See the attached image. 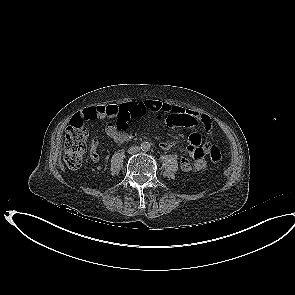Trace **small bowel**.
<instances>
[{
  "instance_id": "obj_1",
  "label": "small bowel",
  "mask_w": 295,
  "mask_h": 295,
  "mask_svg": "<svg viewBox=\"0 0 295 295\" xmlns=\"http://www.w3.org/2000/svg\"><path fill=\"white\" fill-rule=\"evenodd\" d=\"M125 106L131 108L134 119H139L145 116L147 112L155 113L159 118L165 116V123L168 127L174 128L183 126L187 128H195L201 125L205 135L208 138L204 144L202 142L201 131L195 129L188 139V156H184L181 159L180 166L184 171H202L207 168V162L205 156L209 153L213 139V125L211 118L203 113H199L190 109H185L177 106H172L168 103L146 99L143 101H137L129 103ZM108 106H94L83 109L78 113L76 119L83 122L102 120L106 117V108ZM107 135L118 143H123L132 137V133L127 130V127L120 129L114 124H108L106 127ZM178 144L177 141L165 140L161 142L162 149L169 150ZM99 141L97 138H93L90 144V158L93 162H99L101 155L98 151Z\"/></svg>"
}]
</instances>
